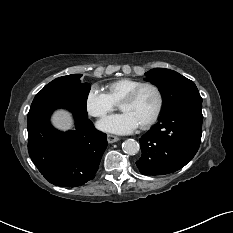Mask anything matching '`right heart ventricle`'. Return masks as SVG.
Wrapping results in <instances>:
<instances>
[{"mask_svg": "<svg viewBox=\"0 0 233 233\" xmlns=\"http://www.w3.org/2000/svg\"><path fill=\"white\" fill-rule=\"evenodd\" d=\"M142 82L130 78H121L107 85V95L114 103H120L121 100L136 86Z\"/></svg>", "mask_w": 233, "mask_h": 233, "instance_id": "right-heart-ventricle-1", "label": "right heart ventricle"}]
</instances>
